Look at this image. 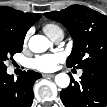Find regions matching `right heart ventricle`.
<instances>
[{
	"label": "right heart ventricle",
	"mask_w": 107,
	"mask_h": 107,
	"mask_svg": "<svg viewBox=\"0 0 107 107\" xmlns=\"http://www.w3.org/2000/svg\"><path fill=\"white\" fill-rule=\"evenodd\" d=\"M43 31L53 40L57 35L64 34L63 29L55 23H47Z\"/></svg>",
	"instance_id": "right-heart-ventricle-1"
}]
</instances>
